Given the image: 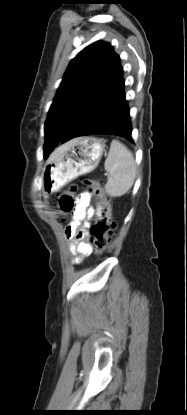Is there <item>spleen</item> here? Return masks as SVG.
<instances>
[{"instance_id":"spleen-1","label":"spleen","mask_w":187,"mask_h":415,"mask_svg":"<svg viewBox=\"0 0 187 415\" xmlns=\"http://www.w3.org/2000/svg\"><path fill=\"white\" fill-rule=\"evenodd\" d=\"M104 167L109 173L105 185L106 193L111 197H120L128 192L136 176L132 152L118 140H113Z\"/></svg>"}]
</instances>
